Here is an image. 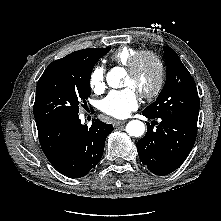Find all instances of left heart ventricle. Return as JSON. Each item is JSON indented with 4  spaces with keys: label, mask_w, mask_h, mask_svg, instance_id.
<instances>
[{
    "label": "left heart ventricle",
    "mask_w": 221,
    "mask_h": 221,
    "mask_svg": "<svg viewBox=\"0 0 221 221\" xmlns=\"http://www.w3.org/2000/svg\"><path fill=\"white\" fill-rule=\"evenodd\" d=\"M158 79V68L150 58H143L134 74L127 72L124 86L133 88L137 93L148 92L154 88Z\"/></svg>",
    "instance_id": "b2bd125f"
}]
</instances>
